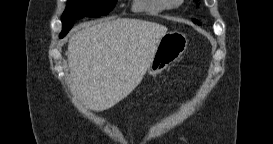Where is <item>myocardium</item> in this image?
<instances>
[{"label":"myocardium","instance_id":"f54148a6","mask_svg":"<svg viewBox=\"0 0 273 144\" xmlns=\"http://www.w3.org/2000/svg\"><path fill=\"white\" fill-rule=\"evenodd\" d=\"M177 0H164L165 3L176 2Z\"/></svg>","mask_w":273,"mask_h":144}]
</instances>
